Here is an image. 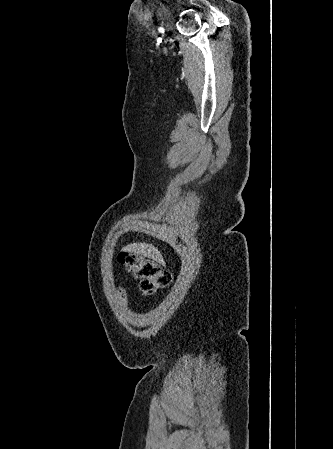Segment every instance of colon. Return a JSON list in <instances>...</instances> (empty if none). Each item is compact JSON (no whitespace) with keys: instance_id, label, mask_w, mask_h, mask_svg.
I'll return each mask as SVG.
<instances>
[{"instance_id":"5ec220e1","label":"colon","mask_w":333,"mask_h":449,"mask_svg":"<svg viewBox=\"0 0 333 449\" xmlns=\"http://www.w3.org/2000/svg\"><path fill=\"white\" fill-rule=\"evenodd\" d=\"M118 262L139 280L143 293L152 294L158 289L165 288L172 281V274L153 259L144 257L131 251H122L118 255Z\"/></svg>"}]
</instances>
